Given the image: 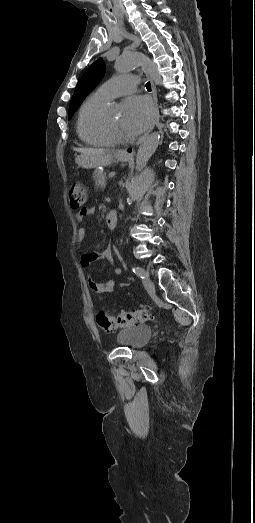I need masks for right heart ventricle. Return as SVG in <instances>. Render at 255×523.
Here are the masks:
<instances>
[{
	"label": "right heart ventricle",
	"instance_id": "e07e8e85",
	"mask_svg": "<svg viewBox=\"0 0 255 523\" xmlns=\"http://www.w3.org/2000/svg\"><path fill=\"white\" fill-rule=\"evenodd\" d=\"M110 99L98 88L82 103L78 114L77 133L86 144L109 146L115 142L101 127V118Z\"/></svg>",
	"mask_w": 255,
	"mask_h": 523
}]
</instances>
